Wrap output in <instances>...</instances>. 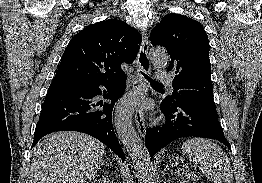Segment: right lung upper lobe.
Here are the masks:
<instances>
[{
    "instance_id": "right-lung-upper-lobe-1",
    "label": "right lung upper lobe",
    "mask_w": 262,
    "mask_h": 183,
    "mask_svg": "<svg viewBox=\"0 0 262 183\" xmlns=\"http://www.w3.org/2000/svg\"><path fill=\"white\" fill-rule=\"evenodd\" d=\"M140 33L127 23L110 19L87 26L69 42L50 85L70 86L116 79L139 51Z\"/></svg>"
}]
</instances>
